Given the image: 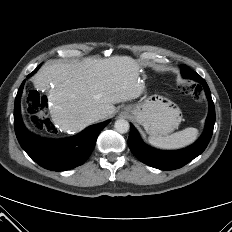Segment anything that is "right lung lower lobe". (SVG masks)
Here are the masks:
<instances>
[{
    "label": "right lung lower lobe",
    "instance_id": "obj_1",
    "mask_svg": "<svg viewBox=\"0 0 232 232\" xmlns=\"http://www.w3.org/2000/svg\"><path fill=\"white\" fill-rule=\"evenodd\" d=\"M40 65L28 75L32 76ZM24 82L15 98L14 127L17 139L26 153L40 166L63 171L82 165L92 153L97 137L109 121L92 125L81 133L60 140L44 139L29 132L20 115V97Z\"/></svg>",
    "mask_w": 232,
    "mask_h": 232
}]
</instances>
